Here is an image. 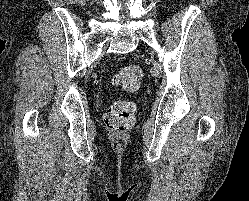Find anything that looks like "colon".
I'll use <instances>...</instances> for the list:
<instances>
[{"instance_id": "obj_1", "label": "colon", "mask_w": 249, "mask_h": 201, "mask_svg": "<svg viewBox=\"0 0 249 201\" xmlns=\"http://www.w3.org/2000/svg\"><path fill=\"white\" fill-rule=\"evenodd\" d=\"M142 71L136 66H127L117 72L113 83L128 91L136 90L142 81ZM136 106L128 100L114 102L104 115L106 127L116 133L128 131L135 122Z\"/></svg>"}]
</instances>
